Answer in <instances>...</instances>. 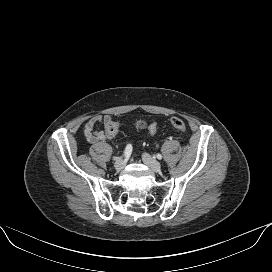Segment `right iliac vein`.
<instances>
[{
	"label": "right iliac vein",
	"instance_id": "1",
	"mask_svg": "<svg viewBox=\"0 0 272 272\" xmlns=\"http://www.w3.org/2000/svg\"><path fill=\"white\" fill-rule=\"evenodd\" d=\"M126 162L124 159H118L115 163H114V167L117 171H120L124 168Z\"/></svg>",
	"mask_w": 272,
	"mask_h": 272
}]
</instances>
